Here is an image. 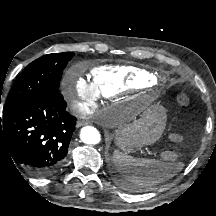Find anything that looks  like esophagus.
<instances>
[{
  "mask_svg": "<svg viewBox=\"0 0 216 216\" xmlns=\"http://www.w3.org/2000/svg\"><path fill=\"white\" fill-rule=\"evenodd\" d=\"M88 123V121H77L76 127L79 128L81 126L87 125Z\"/></svg>",
  "mask_w": 216,
  "mask_h": 216,
  "instance_id": "34e87169",
  "label": "esophagus"
}]
</instances>
